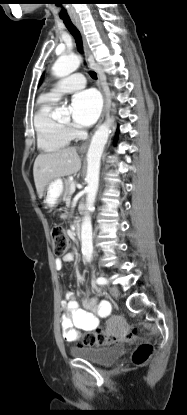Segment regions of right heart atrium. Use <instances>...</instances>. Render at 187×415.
I'll list each match as a JSON object with an SVG mask.
<instances>
[{
	"label": "right heart atrium",
	"mask_w": 187,
	"mask_h": 415,
	"mask_svg": "<svg viewBox=\"0 0 187 415\" xmlns=\"http://www.w3.org/2000/svg\"><path fill=\"white\" fill-rule=\"evenodd\" d=\"M69 131L72 132L73 130L71 128H69Z\"/></svg>",
	"instance_id": "1"
}]
</instances>
